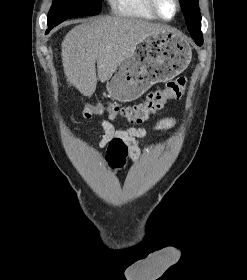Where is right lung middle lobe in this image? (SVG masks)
<instances>
[{
  "mask_svg": "<svg viewBox=\"0 0 247 280\" xmlns=\"http://www.w3.org/2000/svg\"><path fill=\"white\" fill-rule=\"evenodd\" d=\"M100 12L101 0H54L48 13V29L69 18L98 15Z\"/></svg>",
  "mask_w": 247,
  "mask_h": 280,
  "instance_id": "dd1d6c3e",
  "label": "right lung middle lobe"
}]
</instances>
